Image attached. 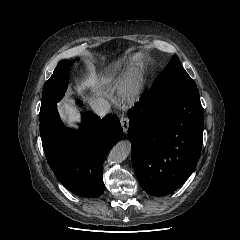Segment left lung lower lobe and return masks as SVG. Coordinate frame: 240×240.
Returning <instances> with one entry per match:
<instances>
[{"instance_id":"left-lung-lower-lobe-1","label":"left lung lower lobe","mask_w":240,"mask_h":240,"mask_svg":"<svg viewBox=\"0 0 240 240\" xmlns=\"http://www.w3.org/2000/svg\"><path fill=\"white\" fill-rule=\"evenodd\" d=\"M132 165L148 194L164 196L195 170L203 141V108L197 87L150 89L128 111Z\"/></svg>"}]
</instances>
